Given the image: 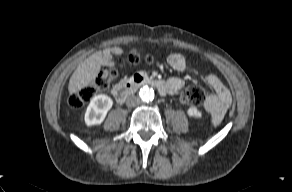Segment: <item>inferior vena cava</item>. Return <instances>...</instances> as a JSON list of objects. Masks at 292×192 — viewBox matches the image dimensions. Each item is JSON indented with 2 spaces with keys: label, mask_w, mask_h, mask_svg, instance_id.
I'll use <instances>...</instances> for the list:
<instances>
[{
  "label": "inferior vena cava",
  "mask_w": 292,
  "mask_h": 192,
  "mask_svg": "<svg viewBox=\"0 0 292 192\" xmlns=\"http://www.w3.org/2000/svg\"><path fill=\"white\" fill-rule=\"evenodd\" d=\"M126 104L130 107H135V106H138L141 104V100L139 97H136V96H130L128 99H127V102Z\"/></svg>",
  "instance_id": "1"
}]
</instances>
